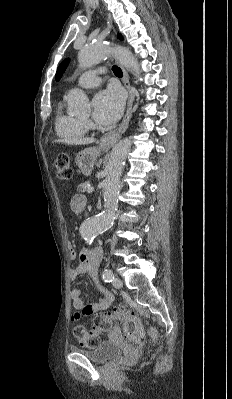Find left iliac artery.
I'll use <instances>...</instances> for the list:
<instances>
[{
	"label": "left iliac artery",
	"instance_id": "left-iliac-artery-1",
	"mask_svg": "<svg viewBox=\"0 0 232 399\" xmlns=\"http://www.w3.org/2000/svg\"><path fill=\"white\" fill-rule=\"evenodd\" d=\"M103 279L106 283H110L114 280V274L111 269H105L103 272Z\"/></svg>",
	"mask_w": 232,
	"mask_h": 399
}]
</instances>
